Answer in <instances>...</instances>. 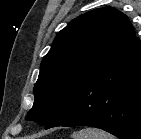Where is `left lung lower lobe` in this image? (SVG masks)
I'll use <instances>...</instances> for the list:
<instances>
[{
  "mask_svg": "<svg viewBox=\"0 0 141 139\" xmlns=\"http://www.w3.org/2000/svg\"><path fill=\"white\" fill-rule=\"evenodd\" d=\"M91 126L120 139H141V42L134 38L71 95L45 129Z\"/></svg>",
  "mask_w": 141,
  "mask_h": 139,
  "instance_id": "left-lung-lower-lobe-1",
  "label": "left lung lower lobe"
}]
</instances>
